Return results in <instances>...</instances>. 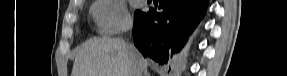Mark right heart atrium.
Segmentation results:
<instances>
[{"instance_id": "d8ad5b80", "label": "right heart atrium", "mask_w": 287, "mask_h": 76, "mask_svg": "<svg viewBox=\"0 0 287 76\" xmlns=\"http://www.w3.org/2000/svg\"><path fill=\"white\" fill-rule=\"evenodd\" d=\"M93 15L100 31L114 35L125 31L131 23L129 12L121 0H98Z\"/></svg>"}]
</instances>
